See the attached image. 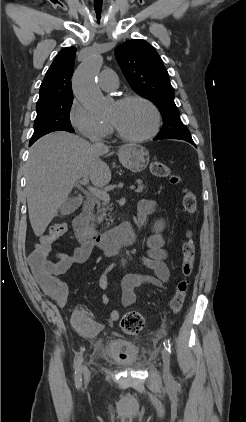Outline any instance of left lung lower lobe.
<instances>
[{
	"label": "left lung lower lobe",
	"instance_id": "left-lung-lower-lobe-1",
	"mask_svg": "<svg viewBox=\"0 0 246 422\" xmlns=\"http://www.w3.org/2000/svg\"><path fill=\"white\" fill-rule=\"evenodd\" d=\"M154 140H159V139L157 137H155ZM181 140H185V141L191 143L192 145H194L196 147V145H195V143L192 139H181Z\"/></svg>",
	"mask_w": 246,
	"mask_h": 422
}]
</instances>
